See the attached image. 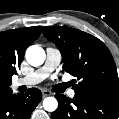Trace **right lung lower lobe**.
Segmentation results:
<instances>
[{"instance_id": "98d812e1", "label": "right lung lower lobe", "mask_w": 119, "mask_h": 119, "mask_svg": "<svg viewBox=\"0 0 119 119\" xmlns=\"http://www.w3.org/2000/svg\"><path fill=\"white\" fill-rule=\"evenodd\" d=\"M42 100L39 89L31 88L25 94H12L11 88L0 91V119H30Z\"/></svg>"}]
</instances>
